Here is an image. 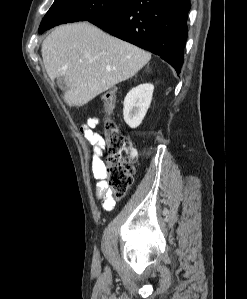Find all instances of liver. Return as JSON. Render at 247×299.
I'll list each match as a JSON object with an SVG mask.
<instances>
[{
	"mask_svg": "<svg viewBox=\"0 0 247 299\" xmlns=\"http://www.w3.org/2000/svg\"><path fill=\"white\" fill-rule=\"evenodd\" d=\"M41 52L49 78H65L63 98L70 107L83 106L132 78L151 59L147 51L89 22L57 27L43 41Z\"/></svg>",
	"mask_w": 247,
	"mask_h": 299,
	"instance_id": "6515ba94",
	"label": "liver"
}]
</instances>
